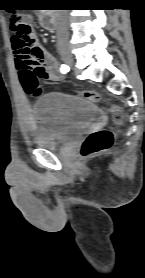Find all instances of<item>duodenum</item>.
<instances>
[{
  "label": "duodenum",
  "instance_id": "1",
  "mask_svg": "<svg viewBox=\"0 0 145 278\" xmlns=\"http://www.w3.org/2000/svg\"><path fill=\"white\" fill-rule=\"evenodd\" d=\"M39 21L50 32H54L56 30V23L53 20L51 15L49 14L42 15Z\"/></svg>",
  "mask_w": 145,
  "mask_h": 278
}]
</instances>
